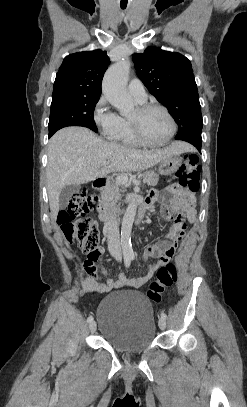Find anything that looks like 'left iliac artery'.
I'll return each instance as SVG.
<instances>
[{"label": "left iliac artery", "mask_w": 247, "mask_h": 407, "mask_svg": "<svg viewBox=\"0 0 247 407\" xmlns=\"http://www.w3.org/2000/svg\"><path fill=\"white\" fill-rule=\"evenodd\" d=\"M132 259H134V256H132ZM161 318L166 319L167 315L164 312H161Z\"/></svg>", "instance_id": "1"}]
</instances>
